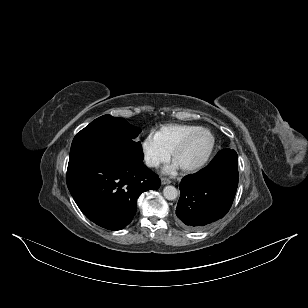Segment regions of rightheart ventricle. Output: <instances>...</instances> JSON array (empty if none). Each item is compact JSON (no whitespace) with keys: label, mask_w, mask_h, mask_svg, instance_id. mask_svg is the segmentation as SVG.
Segmentation results:
<instances>
[{"label":"right heart ventricle","mask_w":308,"mask_h":308,"mask_svg":"<svg viewBox=\"0 0 308 308\" xmlns=\"http://www.w3.org/2000/svg\"><path fill=\"white\" fill-rule=\"evenodd\" d=\"M200 128L191 124H167L161 126L154 132L156 140L169 152L192 131Z\"/></svg>","instance_id":"obj_1"}]
</instances>
